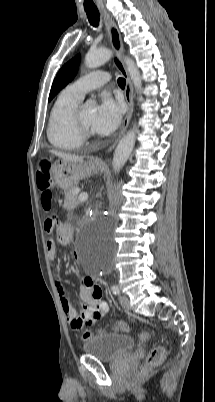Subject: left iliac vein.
I'll list each match as a JSON object with an SVG mask.
<instances>
[{
	"label": "left iliac vein",
	"mask_w": 215,
	"mask_h": 402,
	"mask_svg": "<svg viewBox=\"0 0 215 402\" xmlns=\"http://www.w3.org/2000/svg\"><path fill=\"white\" fill-rule=\"evenodd\" d=\"M119 302L121 304V306L126 309L129 310L130 309V301L129 298L126 295H120L119 296Z\"/></svg>",
	"instance_id": "obj_1"
}]
</instances>
